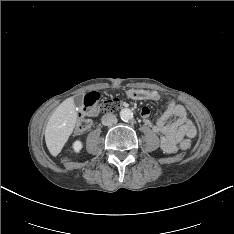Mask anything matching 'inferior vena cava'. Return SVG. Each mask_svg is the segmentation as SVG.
Wrapping results in <instances>:
<instances>
[{
    "label": "inferior vena cava",
    "instance_id": "inferior-vena-cava-1",
    "mask_svg": "<svg viewBox=\"0 0 234 234\" xmlns=\"http://www.w3.org/2000/svg\"><path fill=\"white\" fill-rule=\"evenodd\" d=\"M116 122H117V118L112 113H107V114L103 115V117H102V124L105 126L113 125Z\"/></svg>",
    "mask_w": 234,
    "mask_h": 234
}]
</instances>
